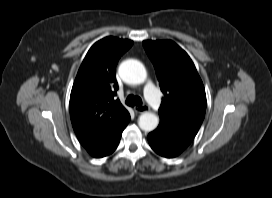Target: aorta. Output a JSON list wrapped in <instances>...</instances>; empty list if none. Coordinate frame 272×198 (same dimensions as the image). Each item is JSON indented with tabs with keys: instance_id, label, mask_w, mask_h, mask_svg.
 Listing matches in <instances>:
<instances>
[{
	"instance_id": "obj_1",
	"label": "aorta",
	"mask_w": 272,
	"mask_h": 198,
	"mask_svg": "<svg viewBox=\"0 0 272 198\" xmlns=\"http://www.w3.org/2000/svg\"><path fill=\"white\" fill-rule=\"evenodd\" d=\"M119 75L127 83L141 84L147 78V72L144 65L134 59L125 60L119 66ZM159 119L156 114L145 112L140 115L138 125L141 130L150 132L156 129Z\"/></svg>"
}]
</instances>
